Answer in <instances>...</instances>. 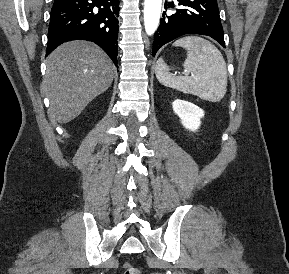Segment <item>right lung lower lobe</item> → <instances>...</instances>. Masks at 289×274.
<instances>
[{"mask_svg": "<svg viewBox=\"0 0 289 274\" xmlns=\"http://www.w3.org/2000/svg\"><path fill=\"white\" fill-rule=\"evenodd\" d=\"M118 0H54L46 56L63 42H95L117 66Z\"/></svg>", "mask_w": 289, "mask_h": 274, "instance_id": "right-lung-lower-lobe-1", "label": "right lung lower lobe"}]
</instances>
